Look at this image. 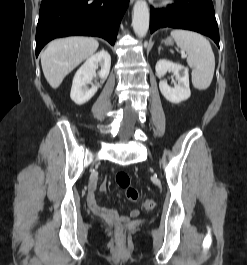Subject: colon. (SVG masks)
<instances>
[{
	"label": "colon",
	"instance_id": "5ec220e1",
	"mask_svg": "<svg viewBox=\"0 0 247 265\" xmlns=\"http://www.w3.org/2000/svg\"><path fill=\"white\" fill-rule=\"evenodd\" d=\"M116 184L125 190L126 197L131 201H136L139 198V192L131 185V179L127 172L119 171L115 176ZM142 207L150 211L155 207V202L152 199H146L142 203Z\"/></svg>",
	"mask_w": 247,
	"mask_h": 265
}]
</instances>
